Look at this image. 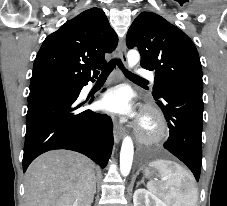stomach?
I'll return each mask as SVG.
<instances>
[{"label": "stomach", "instance_id": "0dacf381", "mask_svg": "<svg viewBox=\"0 0 227 206\" xmlns=\"http://www.w3.org/2000/svg\"><path fill=\"white\" fill-rule=\"evenodd\" d=\"M154 175H156L155 171L150 169V168H145L144 169V176L147 178H151L154 177Z\"/></svg>", "mask_w": 227, "mask_h": 206}]
</instances>
